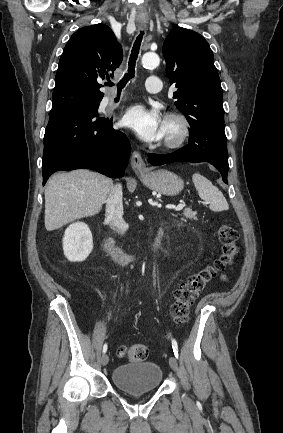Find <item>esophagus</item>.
<instances>
[{"label":"esophagus","instance_id":"1","mask_svg":"<svg viewBox=\"0 0 283 433\" xmlns=\"http://www.w3.org/2000/svg\"><path fill=\"white\" fill-rule=\"evenodd\" d=\"M143 25V24H141ZM131 166L134 170V172L143 173L147 172L146 164L144 160L142 159L139 152L134 151L131 156Z\"/></svg>","mask_w":283,"mask_h":433}]
</instances>
